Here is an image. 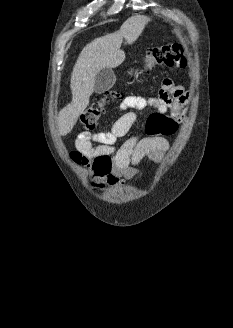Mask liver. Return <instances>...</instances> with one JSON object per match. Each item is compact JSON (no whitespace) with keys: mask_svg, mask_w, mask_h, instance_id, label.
Returning <instances> with one entry per match:
<instances>
[{"mask_svg":"<svg viewBox=\"0 0 233 328\" xmlns=\"http://www.w3.org/2000/svg\"><path fill=\"white\" fill-rule=\"evenodd\" d=\"M146 23L143 17H132L119 31L96 38L82 49L71 74L72 101L58 114L60 135L71 132L79 115L88 106L97 73L103 68H116L125 60V53L120 49L123 39L129 45L133 44Z\"/></svg>","mask_w":233,"mask_h":328,"instance_id":"6515ba94","label":"liver"}]
</instances>
